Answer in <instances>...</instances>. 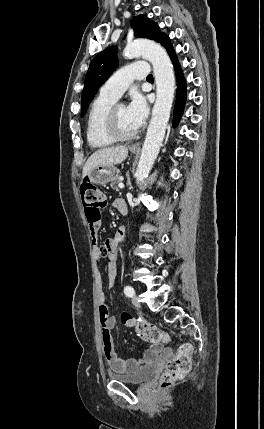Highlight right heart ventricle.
Returning <instances> with one entry per match:
<instances>
[{"label":"right heart ventricle","instance_id":"right-heart-ventricle-1","mask_svg":"<svg viewBox=\"0 0 264 429\" xmlns=\"http://www.w3.org/2000/svg\"><path fill=\"white\" fill-rule=\"evenodd\" d=\"M116 100L100 93L92 102L86 121V136L94 149L107 148L116 142L105 130L107 114Z\"/></svg>","mask_w":264,"mask_h":429}]
</instances>
